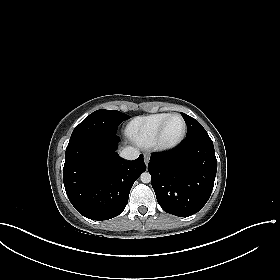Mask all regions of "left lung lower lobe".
<instances>
[{
    "label": "left lung lower lobe",
    "mask_w": 280,
    "mask_h": 280,
    "mask_svg": "<svg viewBox=\"0 0 280 280\" xmlns=\"http://www.w3.org/2000/svg\"><path fill=\"white\" fill-rule=\"evenodd\" d=\"M148 171L165 212L193 215L203 208L213 190L217 171L213 142L209 135L186 137L172 151L153 153Z\"/></svg>",
    "instance_id": "1"
}]
</instances>
